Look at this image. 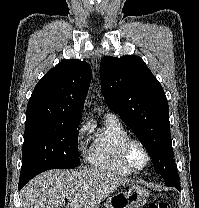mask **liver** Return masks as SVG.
Listing matches in <instances>:
<instances>
[{
  "instance_id": "1",
  "label": "liver",
  "mask_w": 199,
  "mask_h": 208,
  "mask_svg": "<svg viewBox=\"0 0 199 208\" xmlns=\"http://www.w3.org/2000/svg\"><path fill=\"white\" fill-rule=\"evenodd\" d=\"M130 179L102 169H53L39 174L20 192L22 208H96Z\"/></svg>"
}]
</instances>
